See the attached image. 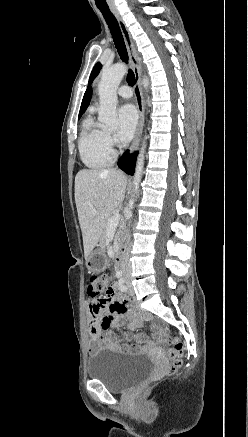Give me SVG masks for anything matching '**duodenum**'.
<instances>
[{
	"label": "duodenum",
	"mask_w": 248,
	"mask_h": 437,
	"mask_svg": "<svg viewBox=\"0 0 248 437\" xmlns=\"http://www.w3.org/2000/svg\"><path fill=\"white\" fill-rule=\"evenodd\" d=\"M125 253V246L123 244L119 245L116 252V265L120 266Z\"/></svg>",
	"instance_id": "1"
}]
</instances>
